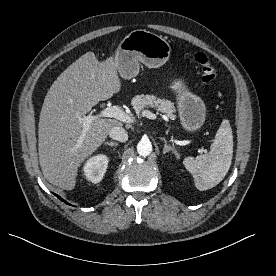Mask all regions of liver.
Masks as SVG:
<instances>
[{"mask_svg":"<svg viewBox=\"0 0 276 276\" xmlns=\"http://www.w3.org/2000/svg\"><path fill=\"white\" fill-rule=\"evenodd\" d=\"M121 90L115 59L87 52L64 70L45 96L38 125L39 163L53 185L72 190L81 164L107 138L117 119L97 118L84 133L80 118Z\"/></svg>","mask_w":276,"mask_h":276,"instance_id":"6515ba94","label":"liver"}]
</instances>
